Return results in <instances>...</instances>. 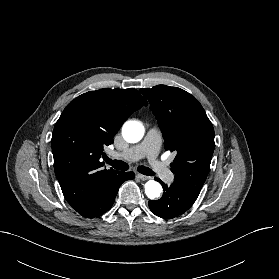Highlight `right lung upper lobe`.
I'll list each match as a JSON object with an SVG mask.
<instances>
[{
    "instance_id": "right-lung-upper-lobe-1",
    "label": "right lung upper lobe",
    "mask_w": 279,
    "mask_h": 279,
    "mask_svg": "<svg viewBox=\"0 0 279 279\" xmlns=\"http://www.w3.org/2000/svg\"><path fill=\"white\" fill-rule=\"evenodd\" d=\"M148 103L133 88L84 93L62 112L52 135L54 170L63 195L74 210L87 207L102 182L116 173L100 161L105 146L123 122Z\"/></svg>"
}]
</instances>
